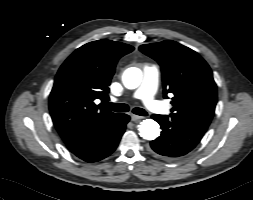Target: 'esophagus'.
Instances as JSON below:
<instances>
[{
    "instance_id": "obj_1",
    "label": "esophagus",
    "mask_w": 253,
    "mask_h": 200,
    "mask_svg": "<svg viewBox=\"0 0 253 200\" xmlns=\"http://www.w3.org/2000/svg\"><path fill=\"white\" fill-rule=\"evenodd\" d=\"M141 119H143V117H141V116H138V115H131V120L133 121V122H137V121H139V120H141Z\"/></svg>"
}]
</instances>
